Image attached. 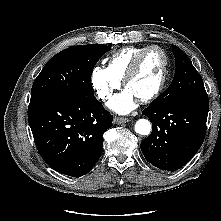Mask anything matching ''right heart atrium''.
Wrapping results in <instances>:
<instances>
[{
	"label": "right heart atrium",
	"instance_id": "d8ad5b80",
	"mask_svg": "<svg viewBox=\"0 0 221 221\" xmlns=\"http://www.w3.org/2000/svg\"><path fill=\"white\" fill-rule=\"evenodd\" d=\"M90 82L96 96L102 101H108L121 85V80L115 77L108 67L101 66L92 70Z\"/></svg>",
	"mask_w": 221,
	"mask_h": 221
}]
</instances>
